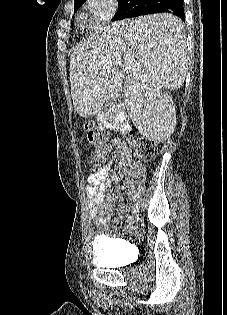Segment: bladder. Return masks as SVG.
Segmentation results:
<instances>
[{
	"label": "bladder",
	"instance_id": "1",
	"mask_svg": "<svg viewBox=\"0 0 227 315\" xmlns=\"http://www.w3.org/2000/svg\"><path fill=\"white\" fill-rule=\"evenodd\" d=\"M126 246L120 239L95 237L92 241L91 259L96 265L103 267H115L122 264L123 258L111 254L109 249Z\"/></svg>",
	"mask_w": 227,
	"mask_h": 315
}]
</instances>
